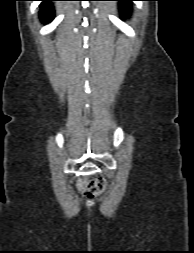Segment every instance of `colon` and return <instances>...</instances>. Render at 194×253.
Here are the masks:
<instances>
[{"instance_id": "colon-1", "label": "colon", "mask_w": 194, "mask_h": 253, "mask_svg": "<svg viewBox=\"0 0 194 253\" xmlns=\"http://www.w3.org/2000/svg\"><path fill=\"white\" fill-rule=\"evenodd\" d=\"M78 186L88 197H94L106 189L107 182L104 178L81 179L78 182Z\"/></svg>"}]
</instances>
